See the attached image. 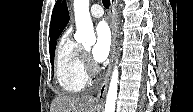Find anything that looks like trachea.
Here are the masks:
<instances>
[{"label":"trachea","mask_w":193,"mask_h":112,"mask_svg":"<svg viewBox=\"0 0 193 112\" xmlns=\"http://www.w3.org/2000/svg\"><path fill=\"white\" fill-rule=\"evenodd\" d=\"M102 3H103V5H104V7H105L106 9L109 8V6H110V1H109V0H102Z\"/></svg>","instance_id":"obj_1"}]
</instances>
